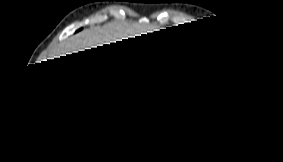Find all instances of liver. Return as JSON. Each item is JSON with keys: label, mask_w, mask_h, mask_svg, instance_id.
<instances>
[{"label": "liver", "mask_w": 283, "mask_h": 162, "mask_svg": "<svg viewBox=\"0 0 283 162\" xmlns=\"http://www.w3.org/2000/svg\"><path fill=\"white\" fill-rule=\"evenodd\" d=\"M158 26L147 20L139 22L113 21L103 26L85 29L65 41L57 44L50 54L51 58H58L79 51L90 50L98 46L109 45L117 41L134 38L141 34L152 33Z\"/></svg>", "instance_id": "obj_1"}]
</instances>
